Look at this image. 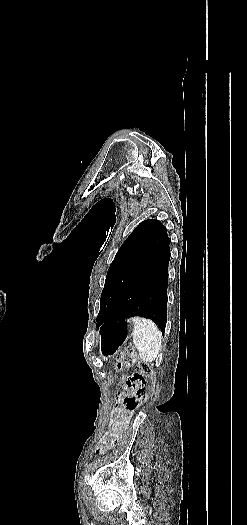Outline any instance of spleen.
I'll return each instance as SVG.
<instances>
[{
  "mask_svg": "<svg viewBox=\"0 0 247 525\" xmlns=\"http://www.w3.org/2000/svg\"><path fill=\"white\" fill-rule=\"evenodd\" d=\"M132 321L134 325V347H136L139 357L144 363H152L159 355L162 335L157 325H155L153 321H150V319L134 317Z\"/></svg>",
  "mask_w": 247,
  "mask_h": 525,
  "instance_id": "3e777b00",
  "label": "spleen"
}]
</instances>
